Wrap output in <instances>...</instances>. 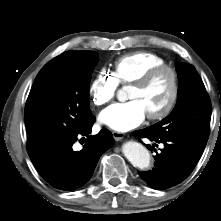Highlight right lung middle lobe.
<instances>
[{
  "instance_id": "dd1d6c3e",
  "label": "right lung middle lobe",
  "mask_w": 221,
  "mask_h": 221,
  "mask_svg": "<svg viewBox=\"0 0 221 221\" xmlns=\"http://www.w3.org/2000/svg\"><path fill=\"white\" fill-rule=\"evenodd\" d=\"M98 62L96 52L68 51L38 73L25 106L28 142L68 139L92 116L89 83Z\"/></svg>"
}]
</instances>
